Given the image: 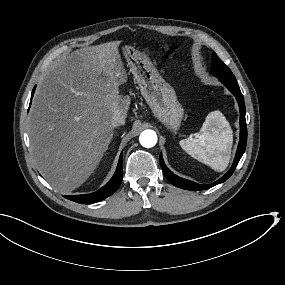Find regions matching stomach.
I'll use <instances>...</instances> for the list:
<instances>
[{"label":"stomach","mask_w":285,"mask_h":285,"mask_svg":"<svg viewBox=\"0 0 285 285\" xmlns=\"http://www.w3.org/2000/svg\"><path fill=\"white\" fill-rule=\"evenodd\" d=\"M131 73L154 116L172 131L179 129L184 109L174 88L166 82L151 60L131 46L123 47Z\"/></svg>","instance_id":"1"}]
</instances>
